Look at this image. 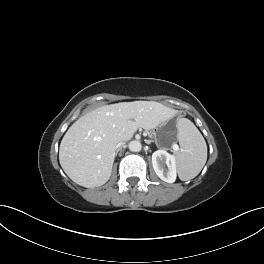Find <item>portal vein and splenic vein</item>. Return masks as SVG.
Wrapping results in <instances>:
<instances>
[{
	"label": "portal vein and splenic vein",
	"mask_w": 264,
	"mask_h": 264,
	"mask_svg": "<svg viewBox=\"0 0 264 264\" xmlns=\"http://www.w3.org/2000/svg\"><path fill=\"white\" fill-rule=\"evenodd\" d=\"M173 150H174V151H178V150H179V147H178L177 144H174V145H173Z\"/></svg>",
	"instance_id": "18ae733b"
}]
</instances>
